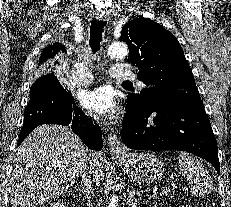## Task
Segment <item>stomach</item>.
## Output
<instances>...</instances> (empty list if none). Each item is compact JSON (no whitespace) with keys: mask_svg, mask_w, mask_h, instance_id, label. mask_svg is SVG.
<instances>
[{"mask_svg":"<svg viewBox=\"0 0 231 207\" xmlns=\"http://www.w3.org/2000/svg\"><path fill=\"white\" fill-rule=\"evenodd\" d=\"M116 158L122 171L139 183L149 184L164 172L163 163L150 153L127 152Z\"/></svg>","mask_w":231,"mask_h":207,"instance_id":"1","label":"stomach"}]
</instances>
